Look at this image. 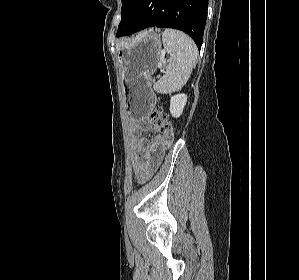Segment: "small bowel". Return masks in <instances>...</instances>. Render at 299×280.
Masks as SVG:
<instances>
[{
	"instance_id": "small-bowel-1",
	"label": "small bowel",
	"mask_w": 299,
	"mask_h": 280,
	"mask_svg": "<svg viewBox=\"0 0 299 280\" xmlns=\"http://www.w3.org/2000/svg\"><path fill=\"white\" fill-rule=\"evenodd\" d=\"M146 131H152L153 136L144 137ZM131 142L134 149V173L142 180L158 167L167 145L166 136L151 122L134 120L131 122Z\"/></svg>"
}]
</instances>
